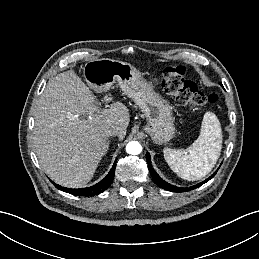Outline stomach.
Here are the masks:
<instances>
[{
    "label": "stomach",
    "instance_id": "1",
    "mask_svg": "<svg viewBox=\"0 0 259 259\" xmlns=\"http://www.w3.org/2000/svg\"><path fill=\"white\" fill-rule=\"evenodd\" d=\"M83 74L87 84L95 90H108L117 82L122 92L141 109L147 120L145 131L156 144L174 137L171 106L133 65L109 58L94 59L85 64Z\"/></svg>",
    "mask_w": 259,
    "mask_h": 259
}]
</instances>
